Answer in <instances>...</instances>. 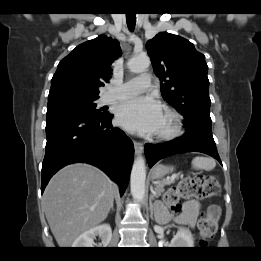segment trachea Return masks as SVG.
Masks as SVG:
<instances>
[{
	"mask_svg": "<svg viewBox=\"0 0 261 261\" xmlns=\"http://www.w3.org/2000/svg\"><path fill=\"white\" fill-rule=\"evenodd\" d=\"M126 21L129 29L133 30L136 23V13H126Z\"/></svg>",
	"mask_w": 261,
	"mask_h": 261,
	"instance_id": "obj_1",
	"label": "trachea"
}]
</instances>
